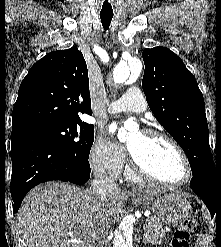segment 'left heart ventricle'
I'll list each match as a JSON object with an SVG mask.
<instances>
[{
	"label": "left heart ventricle",
	"mask_w": 221,
	"mask_h": 247,
	"mask_svg": "<svg viewBox=\"0 0 221 247\" xmlns=\"http://www.w3.org/2000/svg\"><path fill=\"white\" fill-rule=\"evenodd\" d=\"M127 145L158 178L168 182H181L185 179L182 158L167 142L152 140L141 132H135L129 136Z\"/></svg>",
	"instance_id": "b2bd125f"
}]
</instances>
